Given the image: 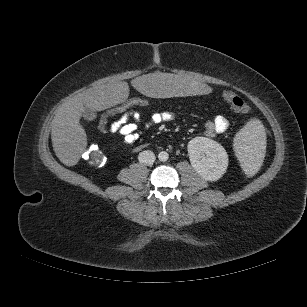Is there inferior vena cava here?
I'll list each match as a JSON object with an SVG mask.
<instances>
[{
  "mask_svg": "<svg viewBox=\"0 0 307 307\" xmlns=\"http://www.w3.org/2000/svg\"><path fill=\"white\" fill-rule=\"evenodd\" d=\"M138 160L141 164L151 165L155 161V154L150 150H144L139 153Z\"/></svg>",
  "mask_w": 307,
  "mask_h": 307,
  "instance_id": "1",
  "label": "inferior vena cava"
}]
</instances>
